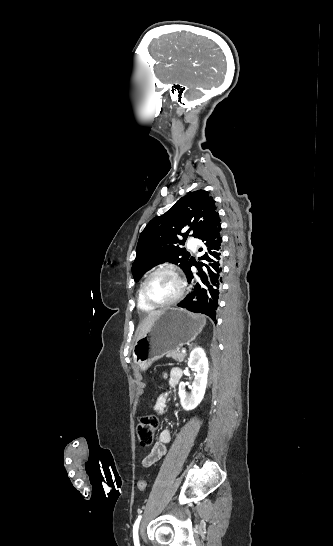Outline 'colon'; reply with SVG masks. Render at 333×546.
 <instances>
[{"mask_svg": "<svg viewBox=\"0 0 333 546\" xmlns=\"http://www.w3.org/2000/svg\"><path fill=\"white\" fill-rule=\"evenodd\" d=\"M158 424V418L154 414L145 415L141 418L137 426L138 441L140 446L149 447L153 443ZM137 487L139 491H145L147 487L146 481H138Z\"/></svg>", "mask_w": 333, "mask_h": 546, "instance_id": "obj_1", "label": "colon"}]
</instances>
